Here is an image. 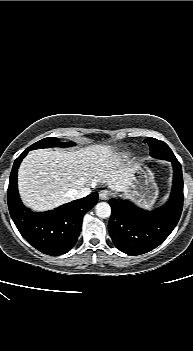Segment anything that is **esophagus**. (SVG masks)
I'll list each match as a JSON object with an SVG mask.
<instances>
[{"instance_id":"34e87169","label":"esophagus","mask_w":193,"mask_h":351,"mask_svg":"<svg viewBox=\"0 0 193 351\" xmlns=\"http://www.w3.org/2000/svg\"><path fill=\"white\" fill-rule=\"evenodd\" d=\"M110 197V192L108 190H101L99 193V198L101 200H107Z\"/></svg>"}]
</instances>
